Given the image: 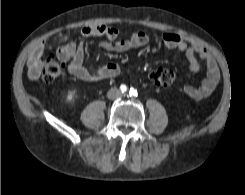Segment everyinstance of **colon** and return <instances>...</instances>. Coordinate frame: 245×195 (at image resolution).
Segmentation results:
<instances>
[{
  "label": "colon",
  "instance_id": "obj_1",
  "mask_svg": "<svg viewBox=\"0 0 245 195\" xmlns=\"http://www.w3.org/2000/svg\"><path fill=\"white\" fill-rule=\"evenodd\" d=\"M65 75V64L59 61L54 55L45 58L43 64L42 79L51 83ZM175 71L172 68H159L150 74V79L158 87H167L175 79Z\"/></svg>",
  "mask_w": 245,
  "mask_h": 195
}]
</instances>
